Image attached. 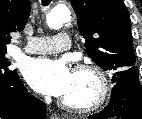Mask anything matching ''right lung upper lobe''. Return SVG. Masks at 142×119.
<instances>
[{"label": "right lung upper lobe", "instance_id": "1", "mask_svg": "<svg viewBox=\"0 0 142 119\" xmlns=\"http://www.w3.org/2000/svg\"><path fill=\"white\" fill-rule=\"evenodd\" d=\"M30 8L29 0H0V51L7 50L10 33L24 29Z\"/></svg>", "mask_w": 142, "mask_h": 119}]
</instances>
